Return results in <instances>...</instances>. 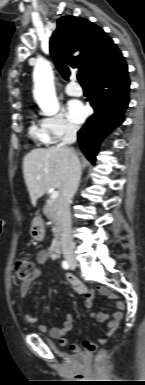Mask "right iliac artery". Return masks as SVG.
<instances>
[{
	"label": "right iliac artery",
	"instance_id": "obj_1",
	"mask_svg": "<svg viewBox=\"0 0 145 385\" xmlns=\"http://www.w3.org/2000/svg\"><path fill=\"white\" fill-rule=\"evenodd\" d=\"M62 267H63L65 270L69 269V264H68V262H67V261H63V262H62Z\"/></svg>",
	"mask_w": 145,
	"mask_h": 385
}]
</instances>
